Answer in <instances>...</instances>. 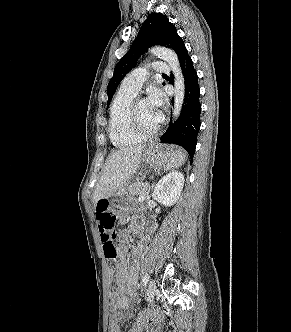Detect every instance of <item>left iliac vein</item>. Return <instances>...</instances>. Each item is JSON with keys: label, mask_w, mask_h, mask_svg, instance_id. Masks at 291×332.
I'll use <instances>...</instances> for the list:
<instances>
[{"label": "left iliac vein", "mask_w": 291, "mask_h": 332, "mask_svg": "<svg viewBox=\"0 0 291 332\" xmlns=\"http://www.w3.org/2000/svg\"><path fill=\"white\" fill-rule=\"evenodd\" d=\"M157 293V286L155 280H151L146 290V299L149 303H153L155 295Z\"/></svg>", "instance_id": "1"}]
</instances>
